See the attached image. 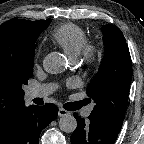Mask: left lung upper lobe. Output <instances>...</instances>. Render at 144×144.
<instances>
[{
	"label": "left lung upper lobe",
	"mask_w": 144,
	"mask_h": 144,
	"mask_svg": "<svg viewBox=\"0 0 144 144\" xmlns=\"http://www.w3.org/2000/svg\"><path fill=\"white\" fill-rule=\"evenodd\" d=\"M102 32L106 53L87 87L88 96L95 102L91 113L122 126L132 79L131 57L118 27L108 24Z\"/></svg>",
	"instance_id": "1"
}]
</instances>
